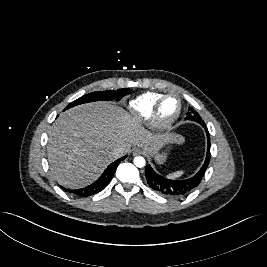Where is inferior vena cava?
<instances>
[{
	"label": "inferior vena cava",
	"mask_w": 267,
	"mask_h": 267,
	"mask_svg": "<svg viewBox=\"0 0 267 267\" xmlns=\"http://www.w3.org/2000/svg\"><path fill=\"white\" fill-rule=\"evenodd\" d=\"M124 153V148L121 146H118L114 149V155L121 156Z\"/></svg>",
	"instance_id": "602c4592"
}]
</instances>
